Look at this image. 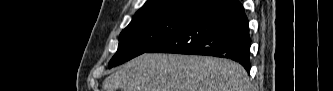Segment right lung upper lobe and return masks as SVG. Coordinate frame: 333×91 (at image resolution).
I'll return each instance as SVG.
<instances>
[{"label": "right lung upper lobe", "instance_id": "right-lung-upper-lobe-1", "mask_svg": "<svg viewBox=\"0 0 333 91\" xmlns=\"http://www.w3.org/2000/svg\"><path fill=\"white\" fill-rule=\"evenodd\" d=\"M204 1L206 0H148L133 18L150 16L194 18L204 10L202 8Z\"/></svg>", "mask_w": 333, "mask_h": 91}]
</instances>
